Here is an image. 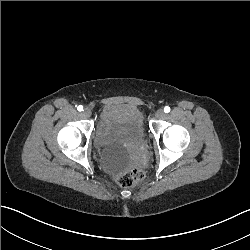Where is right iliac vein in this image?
Returning a JSON list of instances; mask_svg holds the SVG:
<instances>
[{
    "label": "right iliac vein",
    "instance_id": "right-iliac-vein-1",
    "mask_svg": "<svg viewBox=\"0 0 250 250\" xmlns=\"http://www.w3.org/2000/svg\"><path fill=\"white\" fill-rule=\"evenodd\" d=\"M83 115H84L85 117L89 118V117H91L92 112H91V110H90L89 108H85V109L83 110Z\"/></svg>",
    "mask_w": 250,
    "mask_h": 250
}]
</instances>
